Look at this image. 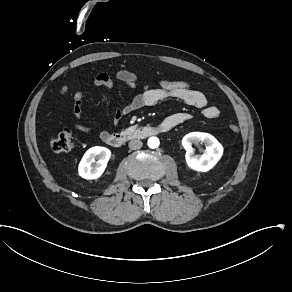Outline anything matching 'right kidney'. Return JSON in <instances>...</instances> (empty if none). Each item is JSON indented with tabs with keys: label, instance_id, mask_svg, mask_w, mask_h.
I'll use <instances>...</instances> for the list:
<instances>
[{
	"label": "right kidney",
	"instance_id": "right-kidney-1",
	"mask_svg": "<svg viewBox=\"0 0 292 292\" xmlns=\"http://www.w3.org/2000/svg\"><path fill=\"white\" fill-rule=\"evenodd\" d=\"M110 156L111 151L108 148L100 146L90 148L79 164V175L85 179L99 178L104 172Z\"/></svg>",
	"mask_w": 292,
	"mask_h": 292
}]
</instances>
